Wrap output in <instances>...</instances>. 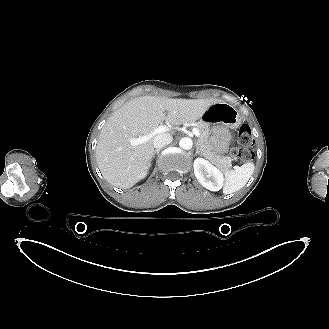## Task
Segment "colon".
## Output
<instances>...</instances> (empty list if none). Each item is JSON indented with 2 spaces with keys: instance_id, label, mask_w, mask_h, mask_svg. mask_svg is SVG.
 <instances>
[{
  "instance_id": "5ec220e1",
  "label": "colon",
  "mask_w": 329,
  "mask_h": 329,
  "mask_svg": "<svg viewBox=\"0 0 329 329\" xmlns=\"http://www.w3.org/2000/svg\"><path fill=\"white\" fill-rule=\"evenodd\" d=\"M238 142L240 146L234 148L231 151V155L243 162L251 160L253 153L250 150V146L253 144L254 138L249 125L243 124L240 126L238 131Z\"/></svg>"
}]
</instances>
